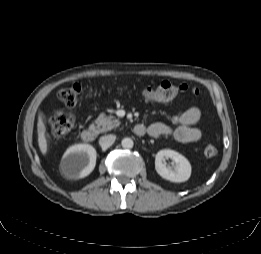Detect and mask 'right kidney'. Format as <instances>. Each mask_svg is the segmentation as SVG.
Returning a JSON list of instances; mask_svg holds the SVG:
<instances>
[{
  "label": "right kidney",
  "mask_w": 261,
  "mask_h": 254,
  "mask_svg": "<svg viewBox=\"0 0 261 254\" xmlns=\"http://www.w3.org/2000/svg\"><path fill=\"white\" fill-rule=\"evenodd\" d=\"M97 153L89 144H75L65 152L60 168L62 174L69 179L88 176L95 168Z\"/></svg>",
  "instance_id": "ca27d5eb"
}]
</instances>
